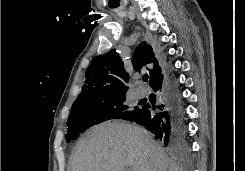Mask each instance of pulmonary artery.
Wrapping results in <instances>:
<instances>
[{
	"label": "pulmonary artery",
	"mask_w": 245,
	"mask_h": 171,
	"mask_svg": "<svg viewBox=\"0 0 245 171\" xmlns=\"http://www.w3.org/2000/svg\"><path fill=\"white\" fill-rule=\"evenodd\" d=\"M134 92L136 94L137 97H143L146 96L148 91L145 87L143 86H138L134 89Z\"/></svg>",
	"instance_id": "pulmonary-artery-1"
}]
</instances>
